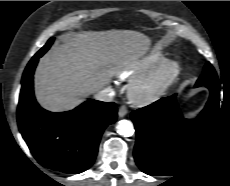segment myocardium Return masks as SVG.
I'll list each match as a JSON object with an SVG mask.
<instances>
[{
    "instance_id": "myocardium-1",
    "label": "myocardium",
    "mask_w": 230,
    "mask_h": 186,
    "mask_svg": "<svg viewBox=\"0 0 230 186\" xmlns=\"http://www.w3.org/2000/svg\"><path fill=\"white\" fill-rule=\"evenodd\" d=\"M181 73L180 64L165 59L149 71L135 77L128 86V96L137 105H148L160 99Z\"/></svg>"
}]
</instances>
